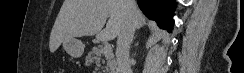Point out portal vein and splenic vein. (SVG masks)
Instances as JSON below:
<instances>
[{
    "mask_svg": "<svg viewBox=\"0 0 244 73\" xmlns=\"http://www.w3.org/2000/svg\"><path fill=\"white\" fill-rule=\"evenodd\" d=\"M103 51H104V53H109V52L112 51V48H111L110 45L105 44L104 47H103Z\"/></svg>",
    "mask_w": 244,
    "mask_h": 73,
    "instance_id": "portal-vein-and-splenic-vein-1",
    "label": "portal vein and splenic vein"
}]
</instances>
